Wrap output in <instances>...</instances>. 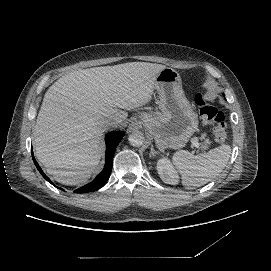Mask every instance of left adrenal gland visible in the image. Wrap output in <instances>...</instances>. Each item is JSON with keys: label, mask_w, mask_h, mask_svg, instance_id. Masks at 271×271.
<instances>
[{"label": "left adrenal gland", "mask_w": 271, "mask_h": 271, "mask_svg": "<svg viewBox=\"0 0 271 271\" xmlns=\"http://www.w3.org/2000/svg\"><path fill=\"white\" fill-rule=\"evenodd\" d=\"M158 155V153L154 150L153 146H151V155L150 156H155Z\"/></svg>", "instance_id": "left-adrenal-gland-1"}]
</instances>
